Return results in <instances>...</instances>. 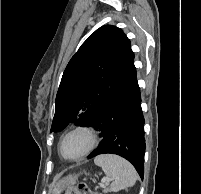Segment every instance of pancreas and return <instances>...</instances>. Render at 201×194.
Returning <instances> with one entry per match:
<instances>
[{"label": "pancreas", "instance_id": "obj_1", "mask_svg": "<svg viewBox=\"0 0 201 194\" xmlns=\"http://www.w3.org/2000/svg\"><path fill=\"white\" fill-rule=\"evenodd\" d=\"M108 191H109V189H108V188L104 189V192H105V193H107Z\"/></svg>", "mask_w": 201, "mask_h": 194}]
</instances>
